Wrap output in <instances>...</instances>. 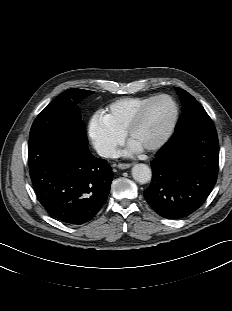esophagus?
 <instances>
[{"label": "esophagus", "instance_id": "obj_1", "mask_svg": "<svg viewBox=\"0 0 232 311\" xmlns=\"http://www.w3.org/2000/svg\"><path fill=\"white\" fill-rule=\"evenodd\" d=\"M119 169H127V168H130L131 167V164H128V163H120L118 164L117 166Z\"/></svg>", "mask_w": 232, "mask_h": 311}]
</instances>
